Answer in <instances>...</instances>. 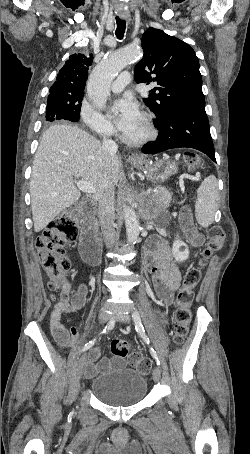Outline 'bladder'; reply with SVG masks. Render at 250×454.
I'll return each instance as SVG.
<instances>
[{"instance_id":"bladder-1","label":"bladder","mask_w":250,"mask_h":454,"mask_svg":"<svg viewBox=\"0 0 250 454\" xmlns=\"http://www.w3.org/2000/svg\"><path fill=\"white\" fill-rule=\"evenodd\" d=\"M120 365L121 362L118 366ZM90 390L99 401L106 405L125 407L135 405L144 399L148 390V380L138 370L119 367L105 371L93 379Z\"/></svg>"}]
</instances>
